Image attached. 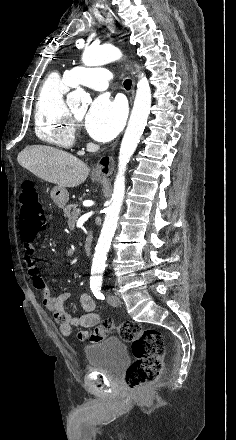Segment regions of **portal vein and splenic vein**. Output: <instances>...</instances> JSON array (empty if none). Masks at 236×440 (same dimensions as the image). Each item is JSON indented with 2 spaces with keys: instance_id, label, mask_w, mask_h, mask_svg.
Masks as SVG:
<instances>
[{
  "instance_id": "1",
  "label": "portal vein and splenic vein",
  "mask_w": 236,
  "mask_h": 440,
  "mask_svg": "<svg viewBox=\"0 0 236 440\" xmlns=\"http://www.w3.org/2000/svg\"><path fill=\"white\" fill-rule=\"evenodd\" d=\"M76 214H77V215L80 214V209H76Z\"/></svg>"
}]
</instances>
